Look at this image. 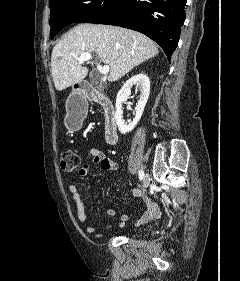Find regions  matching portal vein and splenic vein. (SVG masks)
<instances>
[{
	"label": "portal vein and splenic vein",
	"instance_id": "obj_1",
	"mask_svg": "<svg viewBox=\"0 0 240 281\" xmlns=\"http://www.w3.org/2000/svg\"><path fill=\"white\" fill-rule=\"evenodd\" d=\"M91 59H92V55L90 53H83L79 57V64H83V63H85V62H87V61H89ZM96 65H97L98 71L102 75H106V74L109 73V70H110L109 66H103L102 67L99 63H96Z\"/></svg>",
	"mask_w": 240,
	"mask_h": 281
}]
</instances>
